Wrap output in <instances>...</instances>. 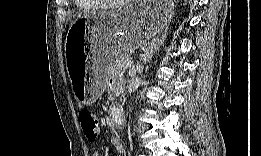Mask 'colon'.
<instances>
[{
	"label": "colon",
	"mask_w": 261,
	"mask_h": 156,
	"mask_svg": "<svg viewBox=\"0 0 261 156\" xmlns=\"http://www.w3.org/2000/svg\"><path fill=\"white\" fill-rule=\"evenodd\" d=\"M78 120L86 139L94 142L99 134V120L97 116L88 109H82L79 111Z\"/></svg>",
	"instance_id": "colon-1"
}]
</instances>
